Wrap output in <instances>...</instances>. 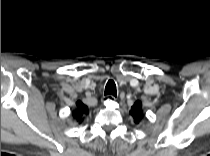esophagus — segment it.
<instances>
[{
	"label": "esophagus",
	"mask_w": 210,
	"mask_h": 156,
	"mask_svg": "<svg viewBox=\"0 0 210 156\" xmlns=\"http://www.w3.org/2000/svg\"><path fill=\"white\" fill-rule=\"evenodd\" d=\"M116 97L112 96V95H106L103 97L102 102L104 105H106L108 102H112L115 101Z\"/></svg>",
	"instance_id": "1"
}]
</instances>
